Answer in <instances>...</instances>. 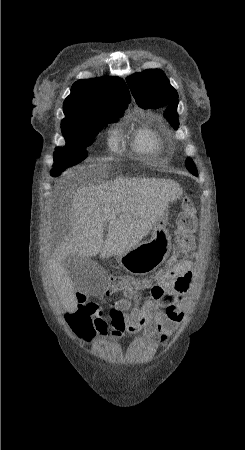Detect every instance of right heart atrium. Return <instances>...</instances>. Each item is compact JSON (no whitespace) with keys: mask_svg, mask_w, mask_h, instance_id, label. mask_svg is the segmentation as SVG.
Wrapping results in <instances>:
<instances>
[{"mask_svg":"<svg viewBox=\"0 0 245 450\" xmlns=\"http://www.w3.org/2000/svg\"><path fill=\"white\" fill-rule=\"evenodd\" d=\"M111 147L113 149H115L117 147V142H116V138L115 137L111 138Z\"/></svg>","mask_w":245,"mask_h":450,"instance_id":"right-heart-atrium-1","label":"right heart atrium"}]
</instances>
